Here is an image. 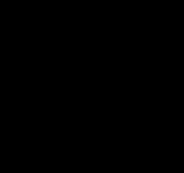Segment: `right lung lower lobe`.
<instances>
[{
	"label": "right lung lower lobe",
	"instance_id": "1",
	"mask_svg": "<svg viewBox=\"0 0 184 173\" xmlns=\"http://www.w3.org/2000/svg\"><path fill=\"white\" fill-rule=\"evenodd\" d=\"M77 119H64L47 127L19 134L24 148L36 159L46 163L62 161L75 140Z\"/></svg>",
	"mask_w": 184,
	"mask_h": 173
}]
</instances>
